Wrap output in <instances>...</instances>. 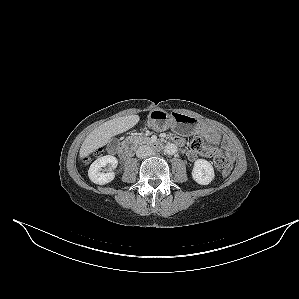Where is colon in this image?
<instances>
[{"label": "colon", "instance_id": "colon-1", "mask_svg": "<svg viewBox=\"0 0 299 299\" xmlns=\"http://www.w3.org/2000/svg\"><path fill=\"white\" fill-rule=\"evenodd\" d=\"M191 149L199 152V153H204L208 154L213 158L214 166L217 170L221 171L224 175H227L229 173V167H228V162L222 153V151L217 150V149H209L207 145L204 144L202 139L200 137H194L191 140ZM90 157H87L85 159V162L90 161Z\"/></svg>", "mask_w": 299, "mask_h": 299}]
</instances>
